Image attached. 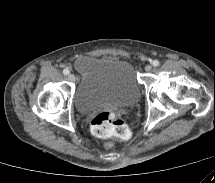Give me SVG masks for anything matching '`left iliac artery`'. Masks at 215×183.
Returning <instances> with one entry per match:
<instances>
[{"mask_svg":"<svg viewBox=\"0 0 215 183\" xmlns=\"http://www.w3.org/2000/svg\"><path fill=\"white\" fill-rule=\"evenodd\" d=\"M152 65H153L154 67L159 66V61H158V60H154V61L152 62Z\"/></svg>","mask_w":215,"mask_h":183,"instance_id":"44dca946","label":"left iliac artery"}]
</instances>
